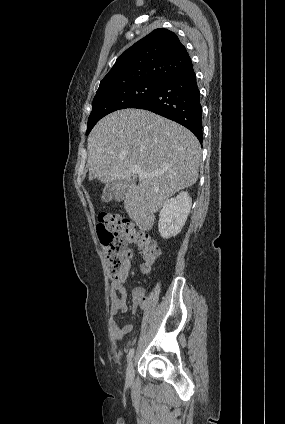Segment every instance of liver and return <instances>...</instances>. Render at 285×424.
I'll return each instance as SVG.
<instances>
[{"label": "liver", "instance_id": "1", "mask_svg": "<svg viewBox=\"0 0 285 424\" xmlns=\"http://www.w3.org/2000/svg\"><path fill=\"white\" fill-rule=\"evenodd\" d=\"M89 180L129 184L124 209L143 230L153 227L164 202L198 178V139L178 123L150 111L123 109L101 119L88 137ZM151 177L131 183V168Z\"/></svg>", "mask_w": 285, "mask_h": 424}]
</instances>
